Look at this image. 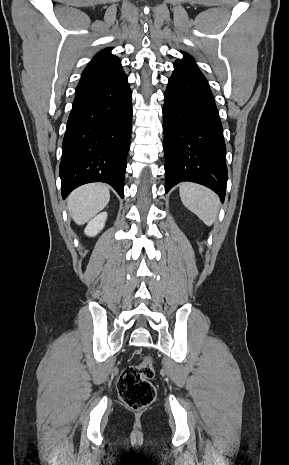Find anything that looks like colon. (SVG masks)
<instances>
[{"label": "colon", "instance_id": "1", "mask_svg": "<svg viewBox=\"0 0 289 465\" xmlns=\"http://www.w3.org/2000/svg\"><path fill=\"white\" fill-rule=\"evenodd\" d=\"M154 375L153 361L147 356L137 364L126 367L118 382V393L124 404L134 410L150 405L156 394L151 383Z\"/></svg>", "mask_w": 289, "mask_h": 465}]
</instances>
